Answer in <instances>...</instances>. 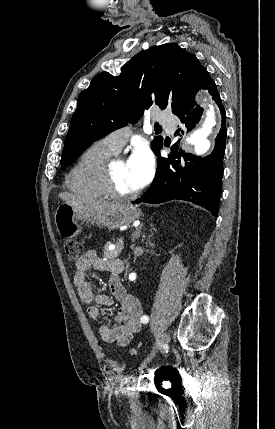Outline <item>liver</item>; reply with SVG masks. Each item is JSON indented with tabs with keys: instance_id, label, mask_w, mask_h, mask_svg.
I'll list each match as a JSON object with an SVG mask.
<instances>
[{
	"instance_id": "liver-1",
	"label": "liver",
	"mask_w": 275,
	"mask_h": 429,
	"mask_svg": "<svg viewBox=\"0 0 275 429\" xmlns=\"http://www.w3.org/2000/svg\"><path fill=\"white\" fill-rule=\"evenodd\" d=\"M58 196L63 201H65L68 205H71L75 207L78 211H82V212H90V213L102 212L109 208L119 205L117 203H111V202L82 199L79 196L72 194L70 192H62Z\"/></svg>"
}]
</instances>
